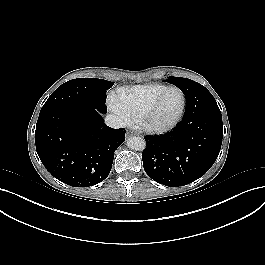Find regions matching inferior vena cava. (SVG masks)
Here are the masks:
<instances>
[{"label": "inferior vena cava", "mask_w": 265, "mask_h": 265, "mask_svg": "<svg viewBox=\"0 0 265 265\" xmlns=\"http://www.w3.org/2000/svg\"><path fill=\"white\" fill-rule=\"evenodd\" d=\"M106 124L111 128H122L125 127L126 123L125 120L117 115L109 114L105 118Z\"/></svg>", "instance_id": "obj_1"}]
</instances>
